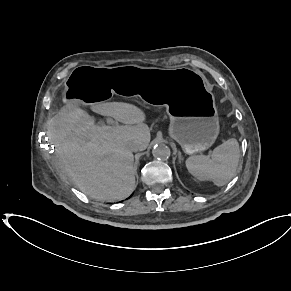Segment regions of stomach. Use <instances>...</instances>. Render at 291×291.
I'll return each mask as SVG.
<instances>
[{
	"label": "stomach",
	"mask_w": 291,
	"mask_h": 291,
	"mask_svg": "<svg viewBox=\"0 0 291 291\" xmlns=\"http://www.w3.org/2000/svg\"><path fill=\"white\" fill-rule=\"evenodd\" d=\"M67 85L66 103H97L117 94L139 95L148 102L164 104L170 117L169 134L186 154L208 149L219 134L214 96L197 70L82 65L73 71Z\"/></svg>",
	"instance_id": "1"
}]
</instances>
